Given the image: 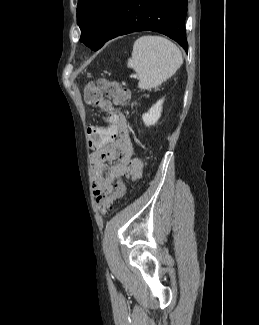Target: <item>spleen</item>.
<instances>
[{
	"label": "spleen",
	"mask_w": 259,
	"mask_h": 325,
	"mask_svg": "<svg viewBox=\"0 0 259 325\" xmlns=\"http://www.w3.org/2000/svg\"><path fill=\"white\" fill-rule=\"evenodd\" d=\"M183 58L179 48L161 36H142L133 45L127 66L138 74V87L156 88L181 67Z\"/></svg>",
	"instance_id": "1"
}]
</instances>
